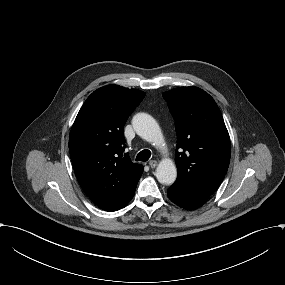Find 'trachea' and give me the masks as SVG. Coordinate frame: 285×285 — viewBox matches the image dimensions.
I'll use <instances>...</instances> for the list:
<instances>
[{
  "label": "trachea",
  "mask_w": 285,
  "mask_h": 285,
  "mask_svg": "<svg viewBox=\"0 0 285 285\" xmlns=\"http://www.w3.org/2000/svg\"><path fill=\"white\" fill-rule=\"evenodd\" d=\"M151 156V152L149 150H142L136 156V161H148Z\"/></svg>",
  "instance_id": "obj_1"
}]
</instances>
